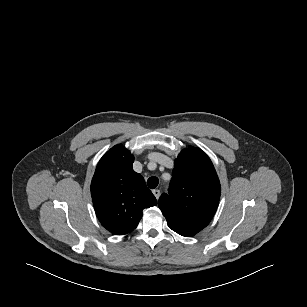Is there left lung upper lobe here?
<instances>
[{"instance_id":"5c2ea615","label":"left lung upper lobe","mask_w":307,"mask_h":307,"mask_svg":"<svg viewBox=\"0 0 307 307\" xmlns=\"http://www.w3.org/2000/svg\"><path fill=\"white\" fill-rule=\"evenodd\" d=\"M220 192L211 160L201 149L191 147L175 160L169 194L161 195L158 206L173 231L191 237L211 221Z\"/></svg>"}]
</instances>
